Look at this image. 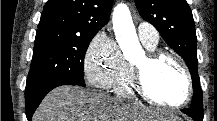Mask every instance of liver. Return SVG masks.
<instances>
[{
    "label": "liver",
    "instance_id": "liver-1",
    "mask_svg": "<svg viewBox=\"0 0 217 121\" xmlns=\"http://www.w3.org/2000/svg\"><path fill=\"white\" fill-rule=\"evenodd\" d=\"M157 116V115H156ZM153 114L138 104L77 86L53 89L41 102L33 121H146Z\"/></svg>",
    "mask_w": 217,
    "mask_h": 121
}]
</instances>
